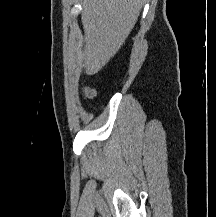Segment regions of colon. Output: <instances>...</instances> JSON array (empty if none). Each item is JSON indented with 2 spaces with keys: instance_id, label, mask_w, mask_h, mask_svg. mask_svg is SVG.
I'll list each match as a JSON object with an SVG mask.
<instances>
[{
  "instance_id": "1",
  "label": "colon",
  "mask_w": 216,
  "mask_h": 217,
  "mask_svg": "<svg viewBox=\"0 0 216 217\" xmlns=\"http://www.w3.org/2000/svg\"><path fill=\"white\" fill-rule=\"evenodd\" d=\"M83 96L87 100H92L96 96V90L91 86H85L83 88Z\"/></svg>"
}]
</instances>
